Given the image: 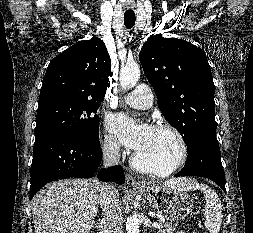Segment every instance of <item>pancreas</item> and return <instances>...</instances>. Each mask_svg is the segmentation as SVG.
I'll return each mask as SVG.
<instances>
[{
  "instance_id": "obj_1",
  "label": "pancreas",
  "mask_w": 253,
  "mask_h": 233,
  "mask_svg": "<svg viewBox=\"0 0 253 233\" xmlns=\"http://www.w3.org/2000/svg\"><path fill=\"white\" fill-rule=\"evenodd\" d=\"M176 230V225L171 224V223H166L160 228L161 233H174Z\"/></svg>"
}]
</instances>
